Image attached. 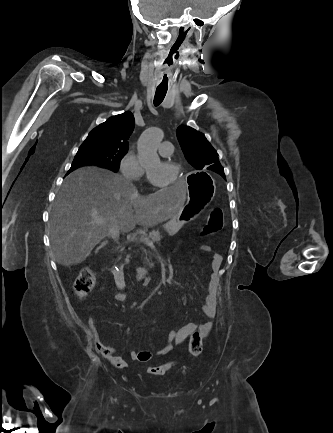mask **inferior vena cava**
Returning <instances> with one entry per match:
<instances>
[{
	"label": "inferior vena cava",
	"instance_id": "1",
	"mask_svg": "<svg viewBox=\"0 0 333 433\" xmlns=\"http://www.w3.org/2000/svg\"><path fill=\"white\" fill-rule=\"evenodd\" d=\"M118 231L119 230H118L117 226H112L111 228H109L108 233L110 236L117 237Z\"/></svg>",
	"mask_w": 333,
	"mask_h": 433
}]
</instances>
